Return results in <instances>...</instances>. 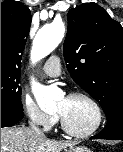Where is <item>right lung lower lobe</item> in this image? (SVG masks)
Instances as JSON below:
<instances>
[{
    "instance_id": "right-lung-lower-lobe-1",
    "label": "right lung lower lobe",
    "mask_w": 123,
    "mask_h": 152,
    "mask_svg": "<svg viewBox=\"0 0 123 152\" xmlns=\"http://www.w3.org/2000/svg\"><path fill=\"white\" fill-rule=\"evenodd\" d=\"M23 112L1 108V128L10 127L23 118Z\"/></svg>"
}]
</instances>
